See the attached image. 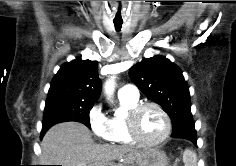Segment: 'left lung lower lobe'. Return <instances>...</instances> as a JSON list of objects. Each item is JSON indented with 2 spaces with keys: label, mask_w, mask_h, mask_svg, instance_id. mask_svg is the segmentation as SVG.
<instances>
[{
  "label": "left lung lower lobe",
  "mask_w": 236,
  "mask_h": 166,
  "mask_svg": "<svg viewBox=\"0 0 236 166\" xmlns=\"http://www.w3.org/2000/svg\"><path fill=\"white\" fill-rule=\"evenodd\" d=\"M171 137L191 140L194 144L197 142V136L194 126L184 123H174Z\"/></svg>",
  "instance_id": "left-lung-lower-lobe-1"
}]
</instances>
